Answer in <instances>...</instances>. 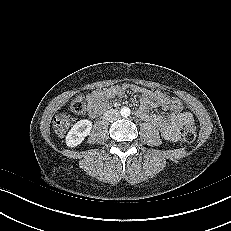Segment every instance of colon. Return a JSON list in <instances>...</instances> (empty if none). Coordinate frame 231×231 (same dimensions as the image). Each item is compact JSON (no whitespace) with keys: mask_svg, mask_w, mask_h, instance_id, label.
Returning a JSON list of instances; mask_svg holds the SVG:
<instances>
[{"mask_svg":"<svg viewBox=\"0 0 231 231\" xmlns=\"http://www.w3.org/2000/svg\"><path fill=\"white\" fill-rule=\"evenodd\" d=\"M171 106L176 110H182L183 103L177 97L170 98ZM71 110L76 114H83L87 110V105L84 99L80 96L76 97L71 102ZM70 125V117L67 114H59L54 118L53 128L54 132L62 137L66 134ZM182 138L186 142H192L196 138V127L194 123H187L183 126L182 129Z\"/></svg>","mask_w":231,"mask_h":231,"instance_id":"5ec220e1","label":"colon"}]
</instances>
